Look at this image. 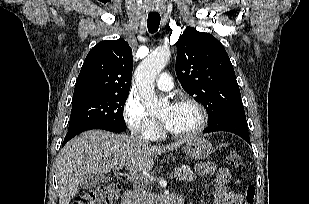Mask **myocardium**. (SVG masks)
I'll return each mask as SVG.
<instances>
[{
    "label": "myocardium",
    "mask_w": 309,
    "mask_h": 204,
    "mask_svg": "<svg viewBox=\"0 0 309 204\" xmlns=\"http://www.w3.org/2000/svg\"><path fill=\"white\" fill-rule=\"evenodd\" d=\"M172 105L180 106V105H191L197 109L200 115V122L198 126L189 132L186 133H175L169 130L164 123L162 124L164 132L172 138L175 139H188L195 136L200 135L208 126V113L205 107L195 99L192 98H181L176 100Z\"/></svg>",
    "instance_id": "f54148a6"
}]
</instances>
